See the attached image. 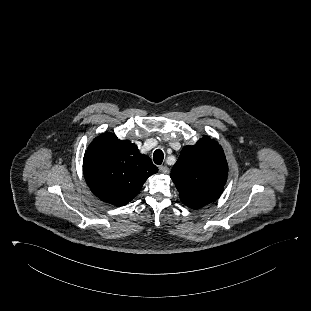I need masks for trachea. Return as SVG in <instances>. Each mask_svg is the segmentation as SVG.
Instances as JSON below:
<instances>
[{
  "instance_id": "1",
  "label": "trachea",
  "mask_w": 311,
  "mask_h": 311,
  "mask_svg": "<svg viewBox=\"0 0 311 311\" xmlns=\"http://www.w3.org/2000/svg\"><path fill=\"white\" fill-rule=\"evenodd\" d=\"M153 159L157 165H161L164 159V154L162 150L160 149L155 150L153 154Z\"/></svg>"
}]
</instances>
